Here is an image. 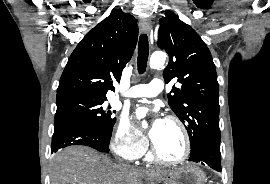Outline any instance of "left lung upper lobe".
Listing matches in <instances>:
<instances>
[{
    "instance_id": "left-lung-upper-lobe-1",
    "label": "left lung upper lobe",
    "mask_w": 270,
    "mask_h": 184,
    "mask_svg": "<svg viewBox=\"0 0 270 184\" xmlns=\"http://www.w3.org/2000/svg\"><path fill=\"white\" fill-rule=\"evenodd\" d=\"M160 22L158 46L169 55L165 83L177 79L181 84L172 87L168 103L185 125L193 152L201 141H220L215 65L201 37L175 13L167 11Z\"/></svg>"
}]
</instances>
